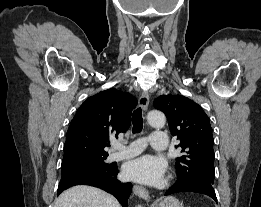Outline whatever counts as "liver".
Segmentation results:
<instances>
[{
  "instance_id": "liver-1",
  "label": "liver",
  "mask_w": 261,
  "mask_h": 207,
  "mask_svg": "<svg viewBox=\"0 0 261 207\" xmlns=\"http://www.w3.org/2000/svg\"><path fill=\"white\" fill-rule=\"evenodd\" d=\"M53 207H120L117 199L95 187L78 185L65 190Z\"/></svg>"
}]
</instances>
